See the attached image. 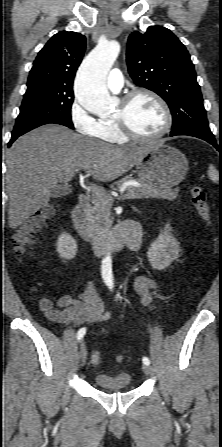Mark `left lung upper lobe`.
Wrapping results in <instances>:
<instances>
[{"instance_id":"5c2ea615","label":"left lung upper lobe","mask_w":222,"mask_h":447,"mask_svg":"<svg viewBox=\"0 0 222 447\" xmlns=\"http://www.w3.org/2000/svg\"><path fill=\"white\" fill-rule=\"evenodd\" d=\"M127 65L135 84L160 95L169 105L171 133L191 131L213 136L194 65L185 46L167 28L150 26L128 38Z\"/></svg>"}]
</instances>
